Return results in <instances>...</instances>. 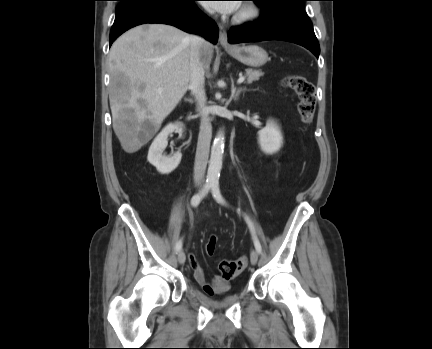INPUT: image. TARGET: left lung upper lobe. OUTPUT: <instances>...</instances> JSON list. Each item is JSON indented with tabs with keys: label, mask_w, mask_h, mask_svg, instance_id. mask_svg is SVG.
Masks as SVG:
<instances>
[{
	"label": "left lung upper lobe",
	"mask_w": 432,
	"mask_h": 349,
	"mask_svg": "<svg viewBox=\"0 0 432 349\" xmlns=\"http://www.w3.org/2000/svg\"><path fill=\"white\" fill-rule=\"evenodd\" d=\"M255 1L261 8L266 7L270 3L278 2L285 5H291L304 9V1L307 0H252Z\"/></svg>",
	"instance_id": "1"
}]
</instances>
